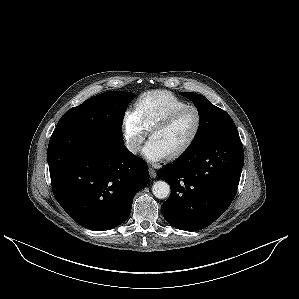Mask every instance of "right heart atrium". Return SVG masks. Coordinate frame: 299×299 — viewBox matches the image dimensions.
Returning <instances> with one entry per match:
<instances>
[{"label": "right heart atrium", "instance_id": "right-heart-atrium-1", "mask_svg": "<svg viewBox=\"0 0 299 299\" xmlns=\"http://www.w3.org/2000/svg\"><path fill=\"white\" fill-rule=\"evenodd\" d=\"M122 133L128 151L137 154L148 133V129L136 112L128 109L123 114Z\"/></svg>", "mask_w": 299, "mask_h": 299}]
</instances>
